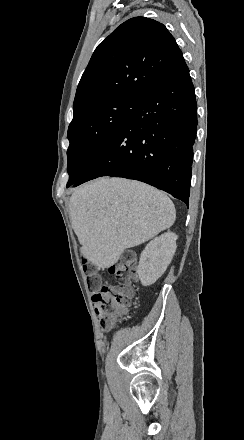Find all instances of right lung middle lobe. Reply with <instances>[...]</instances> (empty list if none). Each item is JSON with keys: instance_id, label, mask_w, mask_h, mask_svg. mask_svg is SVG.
<instances>
[{"instance_id": "dd1d6c3e", "label": "right lung middle lobe", "mask_w": 244, "mask_h": 440, "mask_svg": "<svg viewBox=\"0 0 244 440\" xmlns=\"http://www.w3.org/2000/svg\"><path fill=\"white\" fill-rule=\"evenodd\" d=\"M141 97L116 96L74 107L67 150L69 181L74 184L98 152L128 120Z\"/></svg>"}]
</instances>
